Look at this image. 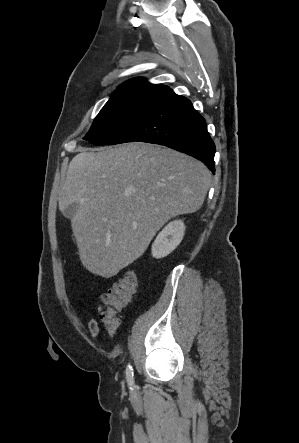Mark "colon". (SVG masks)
Segmentation results:
<instances>
[{
  "instance_id": "obj_1",
  "label": "colon",
  "mask_w": 299,
  "mask_h": 443,
  "mask_svg": "<svg viewBox=\"0 0 299 443\" xmlns=\"http://www.w3.org/2000/svg\"><path fill=\"white\" fill-rule=\"evenodd\" d=\"M137 289V274L134 270H127L112 286L102 295L104 309L100 314L104 328L114 333L119 320L117 313L130 301Z\"/></svg>"
}]
</instances>
